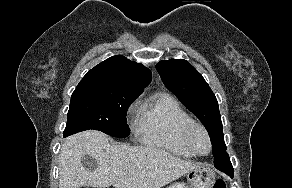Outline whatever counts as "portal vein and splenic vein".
<instances>
[{
    "instance_id": "1",
    "label": "portal vein and splenic vein",
    "mask_w": 292,
    "mask_h": 188,
    "mask_svg": "<svg viewBox=\"0 0 292 188\" xmlns=\"http://www.w3.org/2000/svg\"><path fill=\"white\" fill-rule=\"evenodd\" d=\"M118 175H122L123 174V171H119L117 172Z\"/></svg>"
}]
</instances>
